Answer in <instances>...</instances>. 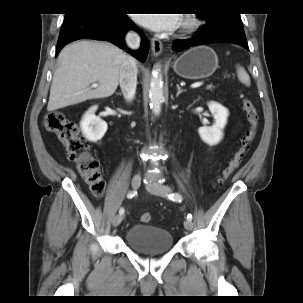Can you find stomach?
Wrapping results in <instances>:
<instances>
[{"label": "stomach", "mask_w": 303, "mask_h": 303, "mask_svg": "<svg viewBox=\"0 0 303 303\" xmlns=\"http://www.w3.org/2000/svg\"><path fill=\"white\" fill-rule=\"evenodd\" d=\"M175 73L185 79L198 80L211 76L218 67V57L208 46L193 47L173 62Z\"/></svg>", "instance_id": "1"}]
</instances>
